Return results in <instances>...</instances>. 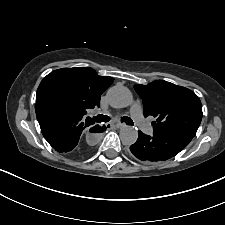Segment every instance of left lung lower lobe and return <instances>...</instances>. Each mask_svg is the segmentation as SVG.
I'll use <instances>...</instances> for the list:
<instances>
[{"label":"left lung lower lobe","mask_w":225,"mask_h":225,"mask_svg":"<svg viewBox=\"0 0 225 225\" xmlns=\"http://www.w3.org/2000/svg\"><path fill=\"white\" fill-rule=\"evenodd\" d=\"M192 138L193 136L186 134L149 136L139 131L138 139L130 146V151L146 163L165 161L184 149Z\"/></svg>","instance_id":"0a47b994"}]
</instances>
